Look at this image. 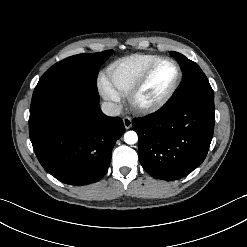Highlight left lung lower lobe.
Here are the masks:
<instances>
[{
	"label": "left lung lower lobe",
	"instance_id": "obj_1",
	"mask_svg": "<svg viewBox=\"0 0 247 247\" xmlns=\"http://www.w3.org/2000/svg\"><path fill=\"white\" fill-rule=\"evenodd\" d=\"M214 99H197L133 119L139 136L138 156L156 179L185 177L204 161L213 137Z\"/></svg>",
	"mask_w": 247,
	"mask_h": 247
}]
</instances>
